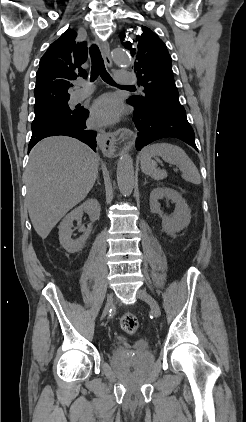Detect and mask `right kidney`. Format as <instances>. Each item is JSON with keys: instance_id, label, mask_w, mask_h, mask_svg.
Here are the masks:
<instances>
[{"instance_id": "obj_1", "label": "right kidney", "mask_w": 246, "mask_h": 422, "mask_svg": "<svg viewBox=\"0 0 246 422\" xmlns=\"http://www.w3.org/2000/svg\"><path fill=\"white\" fill-rule=\"evenodd\" d=\"M100 211L101 208L98 200L95 198H91L86 200L83 204H81L79 207L75 208L65 216L59 226V241L62 247L67 252L76 253L81 251L92 231L91 226H89L88 228L80 226L79 231L82 232L83 235L80 238L73 240L71 238V227L73 221L76 220L77 222H80L83 213L86 212L90 216L91 220L94 222L99 219Z\"/></svg>"}]
</instances>
